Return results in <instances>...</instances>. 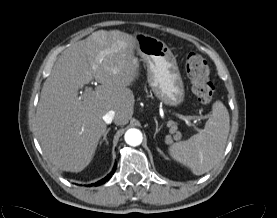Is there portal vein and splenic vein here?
<instances>
[{
    "label": "portal vein and splenic vein",
    "instance_id": "portal-vein-and-splenic-vein-1",
    "mask_svg": "<svg viewBox=\"0 0 277 218\" xmlns=\"http://www.w3.org/2000/svg\"><path fill=\"white\" fill-rule=\"evenodd\" d=\"M90 90H91V88H87V89H86V91H90ZM177 116H178L180 119H182L183 121H185V123H186L188 126L191 125V123L188 121V118H187V117L182 116V115H179V114H177ZM169 127H171V128H170V133H171V134L176 133V130H177V126H176V125H169Z\"/></svg>",
    "mask_w": 277,
    "mask_h": 218
}]
</instances>
